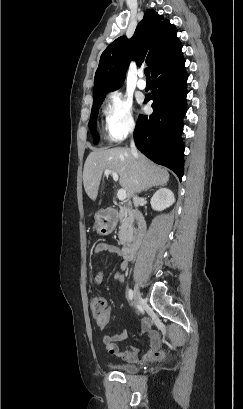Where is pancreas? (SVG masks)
Masks as SVG:
<instances>
[{
  "label": "pancreas",
  "instance_id": "pancreas-1",
  "mask_svg": "<svg viewBox=\"0 0 243 409\" xmlns=\"http://www.w3.org/2000/svg\"><path fill=\"white\" fill-rule=\"evenodd\" d=\"M120 226L118 237L121 244H125L132 238L133 218L129 215L126 208H121L119 212Z\"/></svg>",
  "mask_w": 243,
  "mask_h": 409
}]
</instances>
